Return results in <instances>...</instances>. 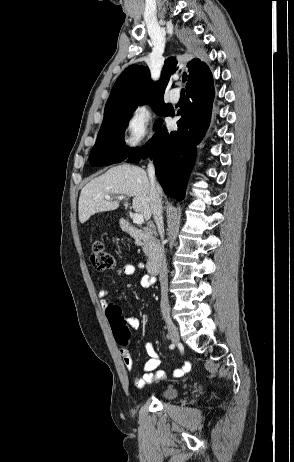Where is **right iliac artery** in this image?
<instances>
[{
  "label": "right iliac artery",
  "mask_w": 294,
  "mask_h": 462,
  "mask_svg": "<svg viewBox=\"0 0 294 462\" xmlns=\"http://www.w3.org/2000/svg\"><path fill=\"white\" fill-rule=\"evenodd\" d=\"M174 347H175L174 344H171V345L169 346L170 349H173Z\"/></svg>",
  "instance_id": "1"
}]
</instances>
